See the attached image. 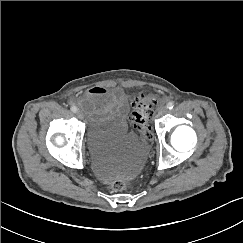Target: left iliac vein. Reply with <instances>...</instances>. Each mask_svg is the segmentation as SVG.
<instances>
[{
    "instance_id": "4c4485c4",
    "label": "left iliac vein",
    "mask_w": 243,
    "mask_h": 243,
    "mask_svg": "<svg viewBox=\"0 0 243 243\" xmlns=\"http://www.w3.org/2000/svg\"><path fill=\"white\" fill-rule=\"evenodd\" d=\"M166 108L165 107H160L158 109V112H157V116L160 117V116H163L165 113H166Z\"/></svg>"
}]
</instances>
